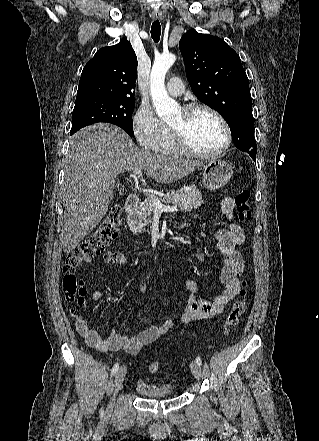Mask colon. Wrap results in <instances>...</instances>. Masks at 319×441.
<instances>
[{"mask_svg":"<svg viewBox=\"0 0 319 441\" xmlns=\"http://www.w3.org/2000/svg\"><path fill=\"white\" fill-rule=\"evenodd\" d=\"M249 200L250 192L248 190H240L234 198V204L241 221H248L251 218ZM120 222V209L118 206H114L98 226L66 257L63 267V291L67 301L70 303L79 306L84 305L87 290L78 275V270L91 257L99 255L104 251L105 247L117 235ZM246 286V282L244 281L243 287L240 290V299L233 304L227 315L224 324L225 334L239 324L240 318L246 310L248 297ZM71 311L74 312L75 308H72ZM159 369V361L152 360L148 363V370L151 373H156Z\"/></svg>","mask_w":319,"mask_h":441,"instance_id":"colon-1","label":"colon"}]
</instances>
